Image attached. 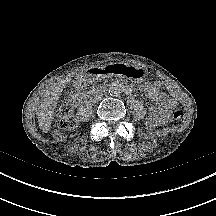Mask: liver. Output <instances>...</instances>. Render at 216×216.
<instances>
[{
  "label": "liver",
  "mask_w": 216,
  "mask_h": 216,
  "mask_svg": "<svg viewBox=\"0 0 216 216\" xmlns=\"http://www.w3.org/2000/svg\"><path fill=\"white\" fill-rule=\"evenodd\" d=\"M64 84H59L53 90L44 95V99L39 106L37 112L39 127L44 133H48L54 116V109L62 92Z\"/></svg>",
  "instance_id": "liver-1"
}]
</instances>
